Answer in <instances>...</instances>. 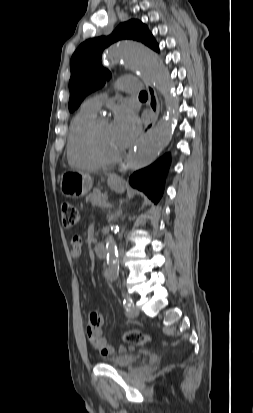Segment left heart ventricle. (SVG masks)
Segmentation results:
<instances>
[{"label": "left heart ventricle", "mask_w": 253, "mask_h": 413, "mask_svg": "<svg viewBox=\"0 0 253 413\" xmlns=\"http://www.w3.org/2000/svg\"><path fill=\"white\" fill-rule=\"evenodd\" d=\"M97 142L101 151L107 155H113L121 150L114 136L112 125L109 123L99 128Z\"/></svg>", "instance_id": "obj_1"}]
</instances>
